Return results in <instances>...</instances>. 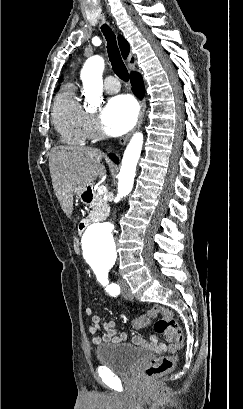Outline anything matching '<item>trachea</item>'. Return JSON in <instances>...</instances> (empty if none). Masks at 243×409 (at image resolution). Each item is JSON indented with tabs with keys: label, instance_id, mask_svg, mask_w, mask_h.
<instances>
[{
	"label": "trachea",
	"instance_id": "1",
	"mask_svg": "<svg viewBox=\"0 0 243 409\" xmlns=\"http://www.w3.org/2000/svg\"><path fill=\"white\" fill-rule=\"evenodd\" d=\"M101 29L107 41L108 57L110 59L114 72L123 81H128L129 80L128 71L121 58L115 34L111 30V28L106 24L102 25Z\"/></svg>",
	"mask_w": 243,
	"mask_h": 409
}]
</instances>
